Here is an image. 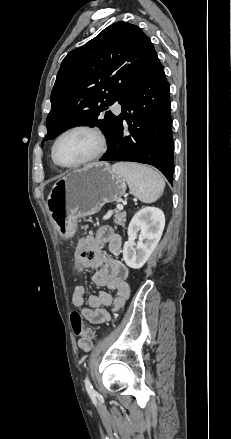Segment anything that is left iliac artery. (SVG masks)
I'll use <instances>...</instances> for the list:
<instances>
[{"label": "left iliac artery", "instance_id": "obj_1", "mask_svg": "<svg viewBox=\"0 0 231 439\" xmlns=\"http://www.w3.org/2000/svg\"><path fill=\"white\" fill-rule=\"evenodd\" d=\"M85 387H86V390H87L89 396H90L92 399L95 398V396H96V391L94 390V388H93V386H92V384H91V382H90V380H89L88 377L85 378Z\"/></svg>", "mask_w": 231, "mask_h": 439}]
</instances>
